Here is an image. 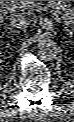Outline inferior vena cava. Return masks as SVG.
Here are the masks:
<instances>
[{
	"label": "inferior vena cava",
	"mask_w": 74,
	"mask_h": 122,
	"mask_svg": "<svg viewBox=\"0 0 74 122\" xmlns=\"http://www.w3.org/2000/svg\"><path fill=\"white\" fill-rule=\"evenodd\" d=\"M10 25L18 29H25L29 26L28 18L23 14H13L9 18Z\"/></svg>",
	"instance_id": "obj_1"
}]
</instances>
